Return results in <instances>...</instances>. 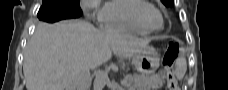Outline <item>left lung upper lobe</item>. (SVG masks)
Listing matches in <instances>:
<instances>
[{
    "label": "left lung upper lobe",
    "instance_id": "5c2ea615",
    "mask_svg": "<svg viewBox=\"0 0 228 90\" xmlns=\"http://www.w3.org/2000/svg\"><path fill=\"white\" fill-rule=\"evenodd\" d=\"M166 6H172L174 4L173 0H162Z\"/></svg>",
    "mask_w": 228,
    "mask_h": 90
}]
</instances>
